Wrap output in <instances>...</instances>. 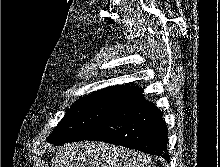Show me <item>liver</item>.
Segmentation results:
<instances>
[{"mask_svg":"<svg viewBox=\"0 0 220 167\" xmlns=\"http://www.w3.org/2000/svg\"><path fill=\"white\" fill-rule=\"evenodd\" d=\"M149 158L104 142L68 143L59 147L51 167H147Z\"/></svg>","mask_w":220,"mask_h":167,"instance_id":"6515ba94","label":"liver"}]
</instances>
